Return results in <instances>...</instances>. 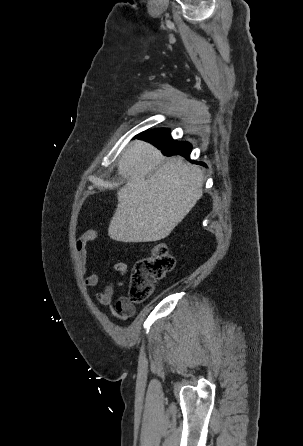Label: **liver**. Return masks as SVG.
Segmentation results:
<instances>
[{
	"label": "liver",
	"instance_id": "liver-1",
	"mask_svg": "<svg viewBox=\"0 0 303 446\" xmlns=\"http://www.w3.org/2000/svg\"><path fill=\"white\" fill-rule=\"evenodd\" d=\"M161 152L144 141H135L122 154L118 173L126 184L117 192L118 204L108 235L126 243L166 238L203 195L200 168L172 157L155 173Z\"/></svg>",
	"mask_w": 303,
	"mask_h": 446
}]
</instances>
